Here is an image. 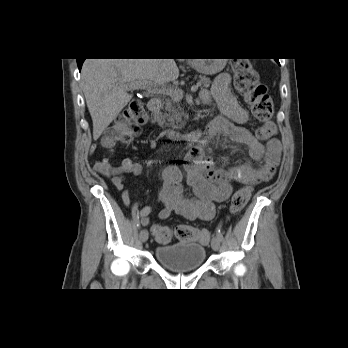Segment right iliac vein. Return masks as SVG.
Segmentation results:
<instances>
[{
	"label": "right iliac vein",
	"instance_id": "63e3f726",
	"mask_svg": "<svg viewBox=\"0 0 348 348\" xmlns=\"http://www.w3.org/2000/svg\"><path fill=\"white\" fill-rule=\"evenodd\" d=\"M148 236H149V234H148V231L146 229L141 230V232H140V240L142 242H146L148 240Z\"/></svg>",
	"mask_w": 348,
	"mask_h": 348
}]
</instances>
